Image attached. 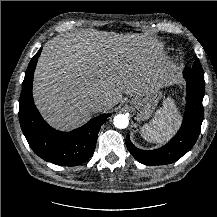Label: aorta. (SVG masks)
Instances as JSON below:
<instances>
[{"label": "aorta", "mask_w": 217, "mask_h": 217, "mask_svg": "<svg viewBox=\"0 0 217 217\" xmlns=\"http://www.w3.org/2000/svg\"><path fill=\"white\" fill-rule=\"evenodd\" d=\"M113 121H114L113 122L114 126L116 128H119V129H124L129 124L128 116L124 115V114H119V115L115 116Z\"/></svg>", "instance_id": "762f6f07"}]
</instances>
